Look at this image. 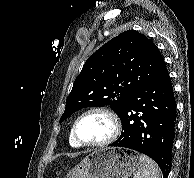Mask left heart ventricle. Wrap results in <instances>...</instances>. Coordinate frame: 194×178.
<instances>
[{"instance_id":"1","label":"left heart ventricle","mask_w":194,"mask_h":178,"mask_svg":"<svg viewBox=\"0 0 194 178\" xmlns=\"http://www.w3.org/2000/svg\"><path fill=\"white\" fill-rule=\"evenodd\" d=\"M111 132L108 118L99 113H92L83 117L77 126L78 137L87 143L104 140Z\"/></svg>"}]
</instances>
